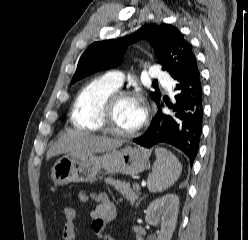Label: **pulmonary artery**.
<instances>
[{
  "label": "pulmonary artery",
  "instance_id": "1",
  "mask_svg": "<svg viewBox=\"0 0 248 240\" xmlns=\"http://www.w3.org/2000/svg\"><path fill=\"white\" fill-rule=\"evenodd\" d=\"M150 77L159 82H165L169 80L168 75L161 71L157 66H153L149 71ZM103 78L112 86L119 88L123 84V75L119 71H109L104 74Z\"/></svg>",
  "mask_w": 248,
  "mask_h": 240
}]
</instances>
